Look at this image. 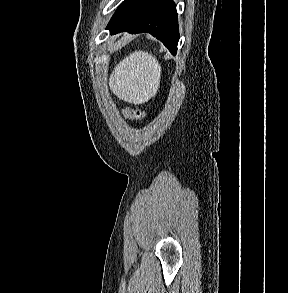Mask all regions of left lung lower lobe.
Listing matches in <instances>:
<instances>
[{
	"label": "left lung lower lobe",
	"instance_id": "0a47b994",
	"mask_svg": "<svg viewBox=\"0 0 288 293\" xmlns=\"http://www.w3.org/2000/svg\"><path fill=\"white\" fill-rule=\"evenodd\" d=\"M106 29L111 34L148 32L175 55L179 30L175 3L172 0H125L116 10Z\"/></svg>",
	"mask_w": 288,
	"mask_h": 293
}]
</instances>
